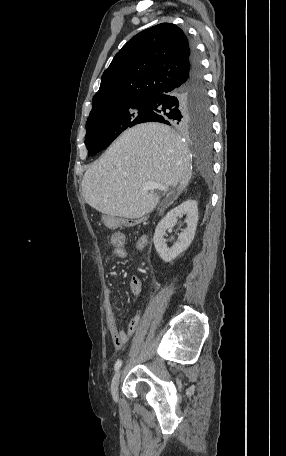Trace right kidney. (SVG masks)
<instances>
[{
  "instance_id": "obj_1",
  "label": "right kidney",
  "mask_w": 286,
  "mask_h": 456,
  "mask_svg": "<svg viewBox=\"0 0 286 456\" xmlns=\"http://www.w3.org/2000/svg\"><path fill=\"white\" fill-rule=\"evenodd\" d=\"M186 215L187 227L181 232L178 237V242L172 247H167L166 240L163 238L165 231L171 229L177 223V218ZM198 222V208L197 202L188 199L181 203L179 206L170 210L167 215L159 222L155 229L153 242L159 256L165 262L174 260L178 255L184 252L195 236V231Z\"/></svg>"
}]
</instances>
